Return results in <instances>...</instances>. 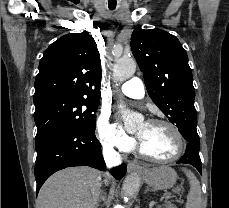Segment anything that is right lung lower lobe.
<instances>
[{
  "label": "right lung lower lobe",
  "instance_id": "right-lung-lower-lobe-1",
  "mask_svg": "<svg viewBox=\"0 0 229 208\" xmlns=\"http://www.w3.org/2000/svg\"><path fill=\"white\" fill-rule=\"evenodd\" d=\"M35 179L36 193L46 179L58 170L72 166H90L105 170L101 145L94 132L76 127H60L36 141ZM112 175L120 179L126 173V165L112 169Z\"/></svg>",
  "mask_w": 229,
  "mask_h": 208
}]
</instances>
